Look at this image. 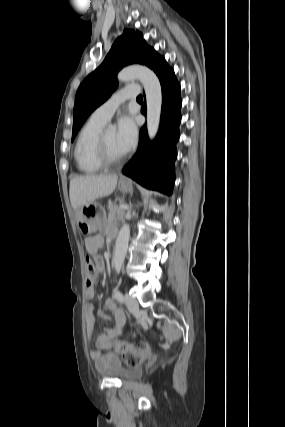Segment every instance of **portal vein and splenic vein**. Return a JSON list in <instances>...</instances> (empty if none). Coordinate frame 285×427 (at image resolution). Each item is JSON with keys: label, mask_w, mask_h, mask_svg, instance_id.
<instances>
[{"label": "portal vein and splenic vein", "mask_w": 285, "mask_h": 427, "mask_svg": "<svg viewBox=\"0 0 285 427\" xmlns=\"http://www.w3.org/2000/svg\"><path fill=\"white\" fill-rule=\"evenodd\" d=\"M119 208H120V209H122V210H127V209H128V206H127V205H125V204H121V205L119 206Z\"/></svg>", "instance_id": "portal-vein-and-splenic-vein-1"}]
</instances>
